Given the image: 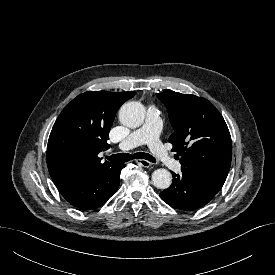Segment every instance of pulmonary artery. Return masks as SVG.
Wrapping results in <instances>:
<instances>
[{"label": "pulmonary artery", "mask_w": 275, "mask_h": 275, "mask_svg": "<svg viewBox=\"0 0 275 275\" xmlns=\"http://www.w3.org/2000/svg\"><path fill=\"white\" fill-rule=\"evenodd\" d=\"M160 130V111L155 105H149L145 123L124 138L118 147L126 151L147 144L158 161L174 171H180L181 163L175 160L163 146L159 138Z\"/></svg>", "instance_id": "1"}]
</instances>
